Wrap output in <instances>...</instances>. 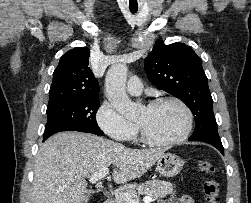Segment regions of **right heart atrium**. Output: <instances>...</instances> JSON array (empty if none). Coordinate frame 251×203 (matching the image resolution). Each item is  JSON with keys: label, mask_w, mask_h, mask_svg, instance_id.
<instances>
[{"label": "right heart atrium", "mask_w": 251, "mask_h": 203, "mask_svg": "<svg viewBox=\"0 0 251 203\" xmlns=\"http://www.w3.org/2000/svg\"><path fill=\"white\" fill-rule=\"evenodd\" d=\"M99 128L111 139L119 142L130 140L136 132V126L126 120L107 101L103 102L96 113Z\"/></svg>", "instance_id": "obj_1"}]
</instances>
